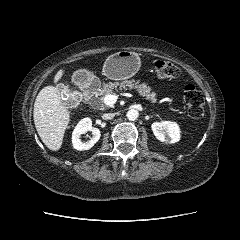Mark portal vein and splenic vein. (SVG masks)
I'll use <instances>...</instances> for the list:
<instances>
[{"mask_svg":"<svg viewBox=\"0 0 240 240\" xmlns=\"http://www.w3.org/2000/svg\"><path fill=\"white\" fill-rule=\"evenodd\" d=\"M117 99H118V95H111V94L106 95L104 97V104L107 106H113L116 103Z\"/></svg>","mask_w":240,"mask_h":240,"instance_id":"1","label":"portal vein and splenic vein"}]
</instances>
